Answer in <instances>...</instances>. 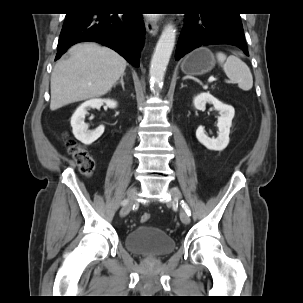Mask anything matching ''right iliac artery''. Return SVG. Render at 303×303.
Listing matches in <instances>:
<instances>
[{
    "label": "right iliac artery",
    "mask_w": 303,
    "mask_h": 303,
    "mask_svg": "<svg viewBox=\"0 0 303 303\" xmlns=\"http://www.w3.org/2000/svg\"><path fill=\"white\" fill-rule=\"evenodd\" d=\"M126 202H127V200H124V201L122 202V204L124 205V204H126Z\"/></svg>",
    "instance_id": "right-iliac-artery-1"
}]
</instances>
